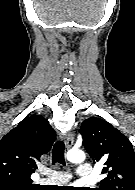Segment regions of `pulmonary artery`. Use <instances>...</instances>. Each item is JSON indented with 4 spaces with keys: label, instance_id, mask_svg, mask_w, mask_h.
<instances>
[{
    "label": "pulmonary artery",
    "instance_id": "obj_1",
    "mask_svg": "<svg viewBox=\"0 0 135 190\" xmlns=\"http://www.w3.org/2000/svg\"><path fill=\"white\" fill-rule=\"evenodd\" d=\"M42 174L46 177L41 178V184H64L71 178L70 174L64 171L43 170ZM76 174L78 177L87 179L92 176V167L88 163H80L77 167Z\"/></svg>",
    "mask_w": 135,
    "mask_h": 190
}]
</instances>
